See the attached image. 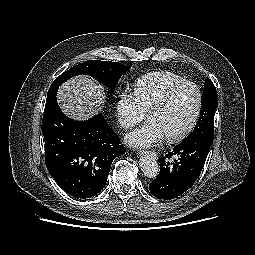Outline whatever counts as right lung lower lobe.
Segmentation results:
<instances>
[{"label":"right lung lower lobe","mask_w":255,"mask_h":255,"mask_svg":"<svg viewBox=\"0 0 255 255\" xmlns=\"http://www.w3.org/2000/svg\"><path fill=\"white\" fill-rule=\"evenodd\" d=\"M57 90L47 94L42 120L45 163L65 192L90 198L105 187L112 161L125 148L101 114L85 121L68 118L58 106Z\"/></svg>","instance_id":"right-lung-lower-lobe-1"}]
</instances>
